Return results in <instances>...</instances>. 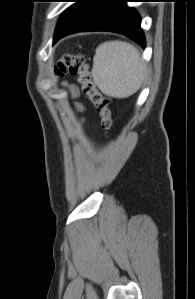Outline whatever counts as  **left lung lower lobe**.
Here are the masks:
<instances>
[{
  "mask_svg": "<svg viewBox=\"0 0 195 299\" xmlns=\"http://www.w3.org/2000/svg\"><path fill=\"white\" fill-rule=\"evenodd\" d=\"M127 2L130 0H88L78 16L55 33L54 43L72 33L111 31L131 38L144 48L141 18L133 8L126 6Z\"/></svg>",
  "mask_w": 195,
  "mask_h": 299,
  "instance_id": "0a47b994",
  "label": "left lung lower lobe"
}]
</instances>
